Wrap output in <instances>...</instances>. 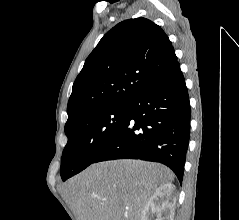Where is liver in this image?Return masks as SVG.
Masks as SVG:
<instances>
[{
	"instance_id": "1",
	"label": "liver",
	"mask_w": 239,
	"mask_h": 220,
	"mask_svg": "<svg viewBox=\"0 0 239 220\" xmlns=\"http://www.w3.org/2000/svg\"><path fill=\"white\" fill-rule=\"evenodd\" d=\"M173 179L158 163L112 160L92 164L64 190L77 220H141L154 191Z\"/></svg>"
}]
</instances>
